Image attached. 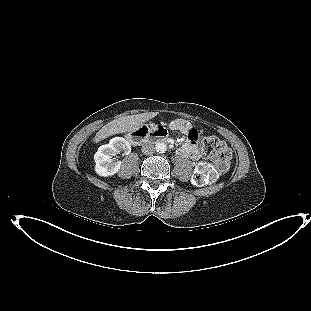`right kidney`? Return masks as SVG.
I'll return each mask as SVG.
<instances>
[{
    "mask_svg": "<svg viewBox=\"0 0 311 311\" xmlns=\"http://www.w3.org/2000/svg\"><path fill=\"white\" fill-rule=\"evenodd\" d=\"M120 151H124L126 155L131 152L130 143L122 137L112 138L109 144L99 147L94 155L95 172L103 177L116 174L121 167V162L113 160L112 156Z\"/></svg>",
    "mask_w": 311,
    "mask_h": 311,
    "instance_id": "obj_1",
    "label": "right kidney"
}]
</instances>
